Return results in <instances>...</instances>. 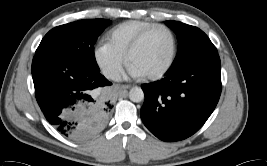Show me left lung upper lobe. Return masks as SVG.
Masks as SVG:
<instances>
[{"label": "left lung upper lobe", "instance_id": "obj_1", "mask_svg": "<svg viewBox=\"0 0 267 166\" xmlns=\"http://www.w3.org/2000/svg\"><path fill=\"white\" fill-rule=\"evenodd\" d=\"M166 24L178 35L179 50L174 67L217 54L216 47L197 27L176 21H166Z\"/></svg>", "mask_w": 267, "mask_h": 166}]
</instances>
